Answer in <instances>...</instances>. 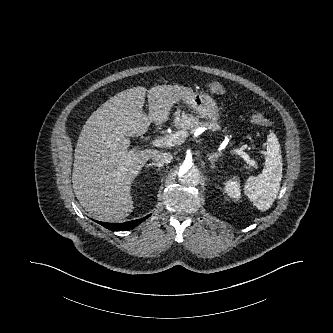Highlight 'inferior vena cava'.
Returning <instances> with one entry per match:
<instances>
[{"label": "inferior vena cava", "instance_id": "602c4592", "mask_svg": "<svg viewBox=\"0 0 333 333\" xmlns=\"http://www.w3.org/2000/svg\"><path fill=\"white\" fill-rule=\"evenodd\" d=\"M152 159L160 164H168L173 159V155L169 152H157L152 155Z\"/></svg>", "mask_w": 333, "mask_h": 333}]
</instances>
